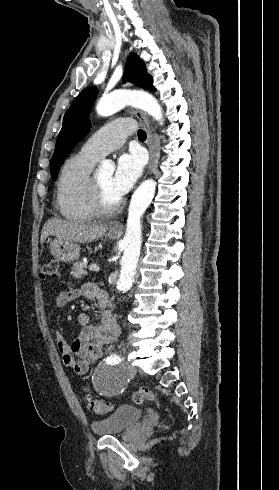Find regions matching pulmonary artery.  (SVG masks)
<instances>
[{"label":"pulmonary artery","mask_w":279,"mask_h":490,"mask_svg":"<svg viewBox=\"0 0 279 490\" xmlns=\"http://www.w3.org/2000/svg\"><path fill=\"white\" fill-rule=\"evenodd\" d=\"M130 123L129 117H114L113 122L102 126L88 137L80 153L92 160H100L109 152L121 147L127 135L137 128V125L133 124L132 128L128 129Z\"/></svg>","instance_id":"obj_1"}]
</instances>
